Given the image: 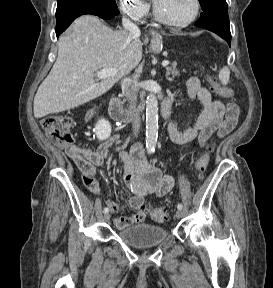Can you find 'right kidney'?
Listing matches in <instances>:
<instances>
[{"label": "right kidney", "mask_w": 273, "mask_h": 288, "mask_svg": "<svg viewBox=\"0 0 273 288\" xmlns=\"http://www.w3.org/2000/svg\"><path fill=\"white\" fill-rule=\"evenodd\" d=\"M96 136L100 141L106 140L111 135V124L106 119H100L95 125Z\"/></svg>", "instance_id": "ca27d5eb"}]
</instances>
